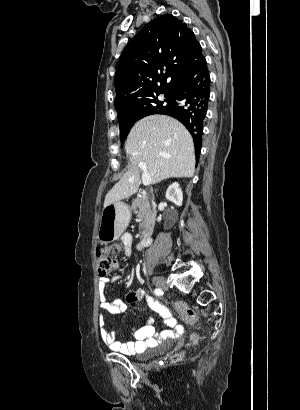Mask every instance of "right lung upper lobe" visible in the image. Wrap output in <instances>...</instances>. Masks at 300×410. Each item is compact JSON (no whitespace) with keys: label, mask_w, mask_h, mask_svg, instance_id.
<instances>
[{"label":"right lung upper lobe","mask_w":300,"mask_h":410,"mask_svg":"<svg viewBox=\"0 0 300 410\" xmlns=\"http://www.w3.org/2000/svg\"><path fill=\"white\" fill-rule=\"evenodd\" d=\"M186 23L165 14L147 24L125 47L115 74L118 120L140 114L142 100L173 91L178 79L203 58Z\"/></svg>","instance_id":"right-lung-upper-lobe-1"}]
</instances>
